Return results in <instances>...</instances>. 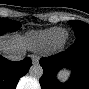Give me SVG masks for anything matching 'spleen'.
<instances>
[{
  "label": "spleen",
  "instance_id": "obj_1",
  "mask_svg": "<svg viewBox=\"0 0 89 89\" xmlns=\"http://www.w3.org/2000/svg\"><path fill=\"white\" fill-rule=\"evenodd\" d=\"M59 77L62 81H65L67 79V73L64 71L63 73L59 74Z\"/></svg>",
  "mask_w": 89,
  "mask_h": 89
}]
</instances>
